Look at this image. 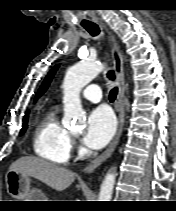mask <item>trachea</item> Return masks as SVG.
<instances>
[{
    "label": "trachea",
    "instance_id": "3493384b",
    "mask_svg": "<svg viewBox=\"0 0 176 211\" xmlns=\"http://www.w3.org/2000/svg\"><path fill=\"white\" fill-rule=\"evenodd\" d=\"M84 28L92 35V36H97L100 33V29L97 25L93 24V25H88V26H84ZM107 78L111 81L115 80V73L114 71H108L107 73ZM118 93V89L116 87H114L113 89H111L110 93H109V99L111 102H113L116 99Z\"/></svg>",
    "mask_w": 176,
    "mask_h": 211
}]
</instances>
